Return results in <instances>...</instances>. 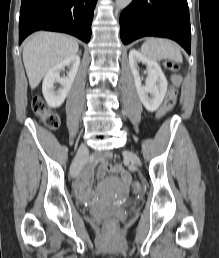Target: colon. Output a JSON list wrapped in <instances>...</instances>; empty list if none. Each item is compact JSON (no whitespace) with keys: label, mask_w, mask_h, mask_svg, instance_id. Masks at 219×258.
Masks as SVG:
<instances>
[{"label":"colon","mask_w":219,"mask_h":258,"mask_svg":"<svg viewBox=\"0 0 219 258\" xmlns=\"http://www.w3.org/2000/svg\"><path fill=\"white\" fill-rule=\"evenodd\" d=\"M165 68L171 72L176 73L179 69V65L174 61H166L164 64ZM177 98V92L174 87H170L164 102L162 103L160 109L157 112V119H162L165 115L173 108ZM32 110L36 116L49 128L56 129L59 126L60 118L59 116L50 111L43 99L34 98L32 100ZM131 188L134 194L138 195L141 193V185L138 182H133ZM119 230L118 220L114 217L107 218L104 223V231L107 236H114Z\"/></svg>","instance_id":"1"}]
</instances>
